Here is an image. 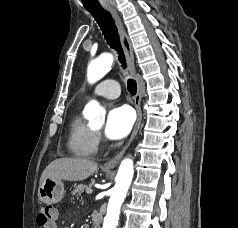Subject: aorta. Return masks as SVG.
I'll return each mask as SVG.
<instances>
[{
    "label": "aorta",
    "instance_id": "aorta-1",
    "mask_svg": "<svg viewBox=\"0 0 238 228\" xmlns=\"http://www.w3.org/2000/svg\"><path fill=\"white\" fill-rule=\"evenodd\" d=\"M113 61V55L110 53L101 54L91 61L87 69L88 82L93 84L102 79L111 70ZM104 114V109L95 100H91L84 109V116L91 121L101 119ZM133 174V160L130 158L123 159L115 178L116 183L109 199L102 228H116L118 225L120 207L131 185Z\"/></svg>",
    "mask_w": 238,
    "mask_h": 228
}]
</instances>
